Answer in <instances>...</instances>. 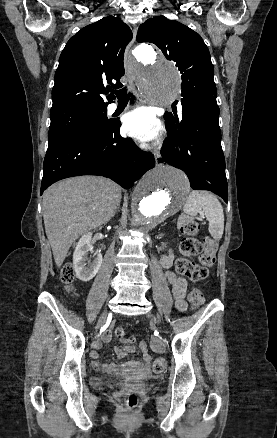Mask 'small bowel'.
Segmentation results:
<instances>
[{
	"instance_id": "obj_1",
	"label": "small bowel",
	"mask_w": 277,
	"mask_h": 438,
	"mask_svg": "<svg viewBox=\"0 0 277 438\" xmlns=\"http://www.w3.org/2000/svg\"><path fill=\"white\" fill-rule=\"evenodd\" d=\"M173 253L168 252L166 255H164L160 263L163 268L167 269L166 271V278L169 281V283L172 286L173 295L175 298L176 307L179 310H184L186 308V302H185V293H186V280L176 274L174 271L169 270L173 264ZM104 336H102L101 341L104 344L109 343L110 337H112V327L111 326H104L103 327ZM93 352L100 348V343L95 342L92 345ZM140 348L144 353V362L140 363L135 360H115L112 359L109 362V365H100L98 363H94L93 367L97 370H101L105 373H108L111 376V379L114 381H117L121 377V369L122 367L123 371L125 373L130 372H138V373H145L148 370V363L151 360V356L147 353L146 344L142 342L140 344ZM133 352V348H117L116 353L118 357L124 358L127 355L131 354Z\"/></svg>"
}]
</instances>
